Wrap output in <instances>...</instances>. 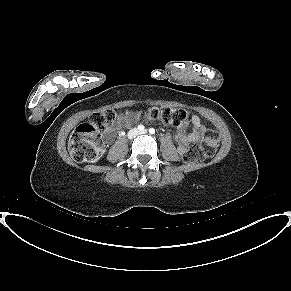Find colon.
Segmentation results:
<instances>
[{
	"label": "colon",
	"instance_id": "obj_1",
	"mask_svg": "<svg viewBox=\"0 0 291 291\" xmlns=\"http://www.w3.org/2000/svg\"><path fill=\"white\" fill-rule=\"evenodd\" d=\"M151 119L179 126L187 122L188 113L183 109L151 107L148 110ZM120 113L114 109H105L93 113L88 120L80 124L71 134L68 142L70 156L79 163H93L101 156L99 135L101 131L111 129ZM219 134L212 129L205 132L198 145L191 146L184 154L186 163L202 161L214 155L219 145Z\"/></svg>",
	"mask_w": 291,
	"mask_h": 291
}]
</instances>
